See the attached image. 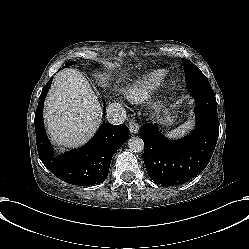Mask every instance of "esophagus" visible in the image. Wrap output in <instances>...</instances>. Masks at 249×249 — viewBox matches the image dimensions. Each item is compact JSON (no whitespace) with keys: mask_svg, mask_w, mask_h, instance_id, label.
Returning <instances> with one entry per match:
<instances>
[{"mask_svg":"<svg viewBox=\"0 0 249 249\" xmlns=\"http://www.w3.org/2000/svg\"><path fill=\"white\" fill-rule=\"evenodd\" d=\"M129 130L132 135H135L139 132V125L134 120L129 121Z\"/></svg>","mask_w":249,"mask_h":249,"instance_id":"obj_1","label":"esophagus"}]
</instances>
